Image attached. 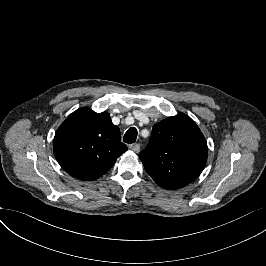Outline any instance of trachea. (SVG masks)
Returning <instances> with one entry per match:
<instances>
[{
	"mask_svg": "<svg viewBox=\"0 0 266 266\" xmlns=\"http://www.w3.org/2000/svg\"><path fill=\"white\" fill-rule=\"evenodd\" d=\"M137 139V129L132 127L124 135L123 141L128 144H132Z\"/></svg>",
	"mask_w": 266,
	"mask_h": 266,
	"instance_id": "obj_1",
	"label": "trachea"
}]
</instances>
